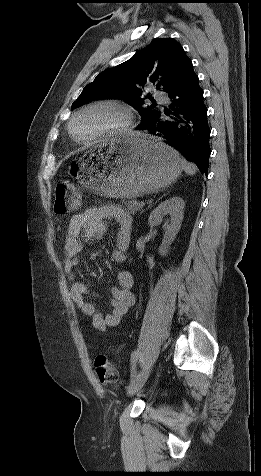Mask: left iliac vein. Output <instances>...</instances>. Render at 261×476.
Returning <instances> with one entry per match:
<instances>
[{
    "instance_id": "1",
    "label": "left iliac vein",
    "mask_w": 261,
    "mask_h": 476,
    "mask_svg": "<svg viewBox=\"0 0 261 476\" xmlns=\"http://www.w3.org/2000/svg\"><path fill=\"white\" fill-rule=\"evenodd\" d=\"M151 369L152 368L149 365L143 367V369L138 373V375L131 381L130 385L128 386V395L132 396L136 394L143 387L151 373Z\"/></svg>"
}]
</instances>
